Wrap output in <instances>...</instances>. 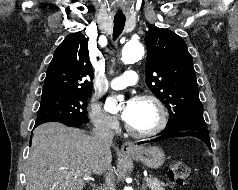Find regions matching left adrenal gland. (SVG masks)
<instances>
[{
    "label": "left adrenal gland",
    "instance_id": "1",
    "mask_svg": "<svg viewBox=\"0 0 238 190\" xmlns=\"http://www.w3.org/2000/svg\"><path fill=\"white\" fill-rule=\"evenodd\" d=\"M143 190H146V186L145 187L143 186Z\"/></svg>",
    "mask_w": 238,
    "mask_h": 190
}]
</instances>
